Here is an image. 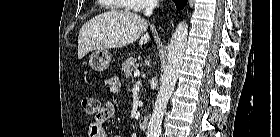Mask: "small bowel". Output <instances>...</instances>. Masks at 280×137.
<instances>
[{
	"label": "small bowel",
	"instance_id": "c3829d8e",
	"mask_svg": "<svg viewBox=\"0 0 280 137\" xmlns=\"http://www.w3.org/2000/svg\"><path fill=\"white\" fill-rule=\"evenodd\" d=\"M107 90L116 93L120 89V82L117 77H111L105 81ZM115 106L113 102L104 103L95 118L88 124V133L90 137H107L104 123L113 116Z\"/></svg>",
	"mask_w": 280,
	"mask_h": 137
}]
</instances>
